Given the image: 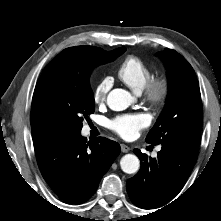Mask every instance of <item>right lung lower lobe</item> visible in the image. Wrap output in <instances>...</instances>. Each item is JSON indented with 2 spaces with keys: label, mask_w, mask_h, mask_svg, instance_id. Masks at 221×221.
Wrapping results in <instances>:
<instances>
[{
  "label": "right lung lower lobe",
  "mask_w": 221,
  "mask_h": 221,
  "mask_svg": "<svg viewBox=\"0 0 221 221\" xmlns=\"http://www.w3.org/2000/svg\"><path fill=\"white\" fill-rule=\"evenodd\" d=\"M40 171L64 201L79 204L97 190L119 155L120 145L104 137L86 143L79 132H51L33 137Z\"/></svg>",
  "instance_id": "1"
}]
</instances>
